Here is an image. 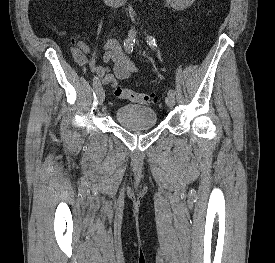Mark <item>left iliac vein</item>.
I'll return each mask as SVG.
<instances>
[{
    "mask_svg": "<svg viewBox=\"0 0 275 263\" xmlns=\"http://www.w3.org/2000/svg\"><path fill=\"white\" fill-rule=\"evenodd\" d=\"M165 103L168 107H173L175 105V96L174 95H168L165 98Z\"/></svg>",
    "mask_w": 275,
    "mask_h": 263,
    "instance_id": "4c4485c4",
    "label": "left iliac vein"
}]
</instances>
